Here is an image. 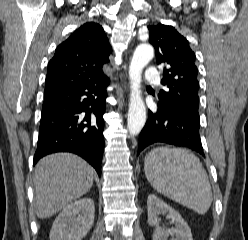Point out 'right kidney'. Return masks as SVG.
I'll return each instance as SVG.
<instances>
[{"instance_id": "obj_1", "label": "right kidney", "mask_w": 248, "mask_h": 240, "mask_svg": "<svg viewBox=\"0 0 248 240\" xmlns=\"http://www.w3.org/2000/svg\"><path fill=\"white\" fill-rule=\"evenodd\" d=\"M95 206L91 198L76 200L56 217L50 240H82L94 222Z\"/></svg>"}]
</instances>
